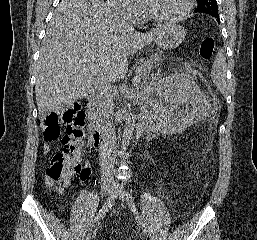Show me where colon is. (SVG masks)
Here are the masks:
<instances>
[{
    "label": "colon",
    "mask_w": 257,
    "mask_h": 240,
    "mask_svg": "<svg viewBox=\"0 0 257 240\" xmlns=\"http://www.w3.org/2000/svg\"><path fill=\"white\" fill-rule=\"evenodd\" d=\"M215 50V39L211 36L202 39L198 53L209 61ZM85 113L79 104H73L62 112H51L45 118L44 135L47 141L61 139L63 150L55 153L46 169V181L60 188L69 186L71 180L79 175H86V168L81 165V152L84 145ZM65 133L61 136V128Z\"/></svg>",
    "instance_id": "1"
}]
</instances>
